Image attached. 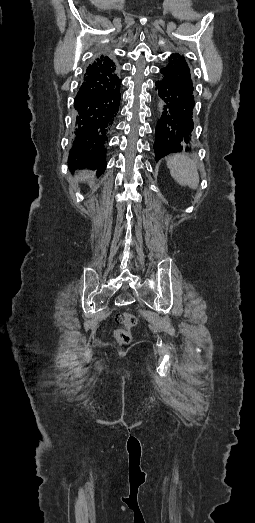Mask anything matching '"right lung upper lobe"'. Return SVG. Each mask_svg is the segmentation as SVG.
I'll use <instances>...</instances> for the list:
<instances>
[{
	"instance_id": "right-lung-upper-lobe-1",
	"label": "right lung upper lobe",
	"mask_w": 255,
	"mask_h": 523,
	"mask_svg": "<svg viewBox=\"0 0 255 523\" xmlns=\"http://www.w3.org/2000/svg\"><path fill=\"white\" fill-rule=\"evenodd\" d=\"M120 83L118 69L115 63L108 57L101 55L95 59L86 69L83 81L75 97V138L69 153V165L73 169H92L102 174V168L106 166V143L108 135L114 126L120 102ZM91 96L100 98L98 108L100 127L94 136L86 138L83 136L84 113L79 111V102L88 100ZM92 139L94 151L85 153L83 141Z\"/></svg>"
}]
</instances>
